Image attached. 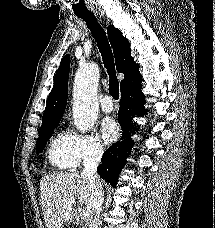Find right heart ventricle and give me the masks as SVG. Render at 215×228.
I'll list each match as a JSON object with an SVG mask.
<instances>
[{
    "label": "right heart ventricle",
    "instance_id": "obj_1",
    "mask_svg": "<svg viewBox=\"0 0 215 228\" xmlns=\"http://www.w3.org/2000/svg\"><path fill=\"white\" fill-rule=\"evenodd\" d=\"M48 161L57 171H73L79 162L77 158L76 137L61 131L50 142Z\"/></svg>",
    "mask_w": 215,
    "mask_h": 228
}]
</instances>
